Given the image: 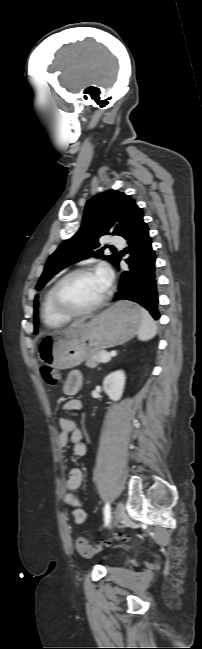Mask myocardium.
Wrapping results in <instances>:
<instances>
[{
  "label": "myocardium",
  "instance_id": "obj_1",
  "mask_svg": "<svg viewBox=\"0 0 202 649\" xmlns=\"http://www.w3.org/2000/svg\"><path fill=\"white\" fill-rule=\"evenodd\" d=\"M92 272H95V269L93 267H90V266L79 267V268H76V269L66 273L64 276H62L55 283L53 291H52V300H53V303H54L56 309L60 313L66 315V316H69V317L86 316V315L92 314L95 311H97L98 309H100L108 301V299L110 298L111 293H112L110 284L107 286L106 292L103 295V297L98 302H96L94 305H92V306H90V307H88L86 309H75V308L71 307L65 301V299H64V297L62 295V289H63V286L65 285V283L69 279H71V278H73V277H75L77 275L88 274V273H92Z\"/></svg>",
  "mask_w": 202,
  "mask_h": 649
}]
</instances>
